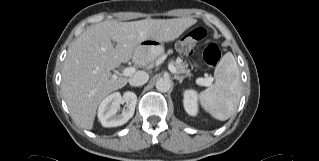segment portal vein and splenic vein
<instances>
[{
	"mask_svg": "<svg viewBox=\"0 0 319 161\" xmlns=\"http://www.w3.org/2000/svg\"><path fill=\"white\" fill-rule=\"evenodd\" d=\"M168 68H169V70H170L172 73H176V68H175V66H174L173 64L170 63V64L168 65ZM134 72H135V68H134V67H126V68L123 70L122 74H123L124 76H130V75H132ZM196 83H197L198 85H202V86H210L211 83H212V79L209 78V77H206V78H198V79L196 80Z\"/></svg>",
	"mask_w": 319,
	"mask_h": 161,
	"instance_id": "obj_1",
	"label": "portal vein and splenic vein"
}]
</instances>
